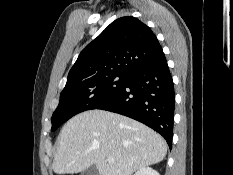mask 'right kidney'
<instances>
[{"mask_svg": "<svg viewBox=\"0 0 233 175\" xmlns=\"http://www.w3.org/2000/svg\"><path fill=\"white\" fill-rule=\"evenodd\" d=\"M134 175H159V173L150 167H144L135 172Z\"/></svg>", "mask_w": 233, "mask_h": 175, "instance_id": "ca27d5eb", "label": "right kidney"}]
</instances>
